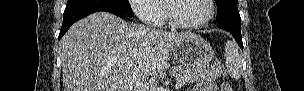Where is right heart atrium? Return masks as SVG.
Listing matches in <instances>:
<instances>
[{
	"label": "right heart atrium",
	"mask_w": 304,
	"mask_h": 91,
	"mask_svg": "<svg viewBox=\"0 0 304 91\" xmlns=\"http://www.w3.org/2000/svg\"><path fill=\"white\" fill-rule=\"evenodd\" d=\"M130 5L134 13L145 23L161 22V13L157 0H132Z\"/></svg>",
	"instance_id": "right-heart-atrium-1"
}]
</instances>
